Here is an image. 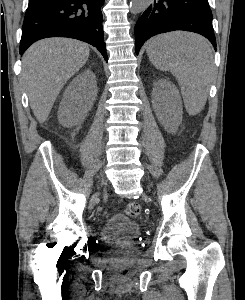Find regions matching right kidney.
<instances>
[{
  "instance_id": "obj_1",
  "label": "right kidney",
  "mask_w": 245,
  "mask_h": 300,
  "mask_svg": "<svg viewBox=\"0 0 245 300\" xmlns=\"http://www.w3.org/2000/svg\"><path fill=\"white\" fill-rule=\"evenodd\" d=\"M97 97L95 74L85 70L66 88L58 110V120L66 127L81 123L91 110Z\"/></svg>"
}]
</instances>
